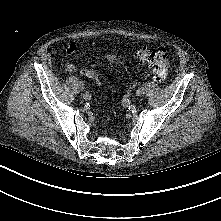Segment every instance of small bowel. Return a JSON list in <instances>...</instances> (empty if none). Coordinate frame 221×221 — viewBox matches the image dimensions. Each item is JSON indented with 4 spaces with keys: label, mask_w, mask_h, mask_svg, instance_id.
Returning a JSON list of instances; mask_svg holds the SVG:
<instances>
[{
    "label": "small bowel",
    "mask_w": 221,
    "mask_h": 221,
    "mask_svg": "<svg viewBox=\"0 0 221 221\" xmlns=\"http://www.w3.org/2000/svg\"><path fill=\"white\" fill-rule=\"evenodd\" d=\"M75 50H76V45H75V44H71V45H69V46L67 47V49H66V54L70 55V54H72ZM65 69H66L67 71L72 72V71H75L76 66H75L74 64H72V63H68V64L65 65Z\"/></svg>",
    "instance_id": "obj_1"
}]
</instances>
